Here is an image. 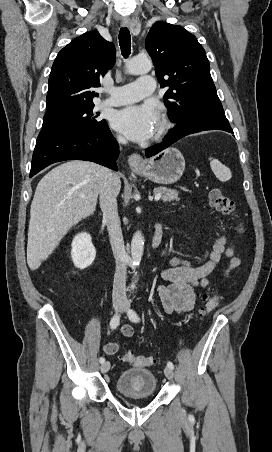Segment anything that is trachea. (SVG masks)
I'll return each instance as SVG.
<instances>
[{
  "label": "trachea",
  "instance_id": "trachea-1",
  "mask_svg": "<svg viewBox=\"0 0 272 452\" xmlns=\"http://www.w3.org/2000/svg\"><path fill=\"white\" fill-rule=\"evenodd\" d=\"M119 45L122 55L127 58L131 52V35L128 28L124 27L119 32Z\"/></svg>",
  "mask_w": 272,
  "mask_h": 452
}]
</instances>
